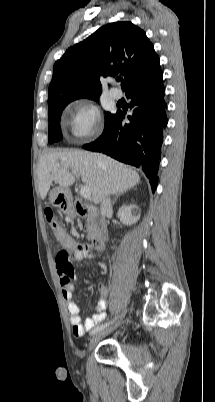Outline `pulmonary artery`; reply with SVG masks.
Wrapping results in <instances>:
<instances>
[{
  "label": "pulmonary artery",
  "mask_w": 215,
  "mask_h": 402,
  "mask_svg": "<svg viewBox=\"0 0 215 402\" xmlns=\"http://www.w3.org/2000/svg\"><path fill=\"white\" fill-rule=\"evenodd\" d=\"M110 95H111L112 98H114L116 100H119V99L122 98L123 93L118 88H112V89H110Z\"/></svg>",
  "instance_id": "obj_1"
}]
</instances>
